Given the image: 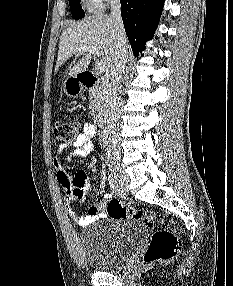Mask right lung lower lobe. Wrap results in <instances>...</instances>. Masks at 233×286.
Returning a JSON list of instances; mask_svg holds the SVG:
<instances>
[{
    "label": "right lung lower lobe",
    "mask_w": 233,
    "mask_h": 286,
    "mask_svg": "<svg viewBox=\"0 0 233 286\" xmlns=\"http://www.w3.org/2000/svg\"><path fill=\"white\" fill-rule=\"evenodd\" d=\"M122 20L133 54L138 56L157 28L164 0H120Z\"/></svg>",
    "instance_id": "obj_1"
}]
</instances>
